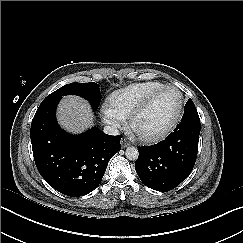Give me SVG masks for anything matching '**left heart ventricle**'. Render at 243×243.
Here are the masks:
<instances>
[{"label": "left heart ventricle", "instance_id": "obj_1", "mask_svg": "<svg viewBox=\"0 0 243 243\" xmlns=\"http://www.w3.org/2000/svg\"><path fill=\"white\" fill-rule=\"evenodd\" d=\"M180 95L167 90L158 95L136 120L137 130L146 135L163 131L174 119L179 107Z\"/></svg>", "mask_w": 243, "mask_h": 243}]
</instances>
